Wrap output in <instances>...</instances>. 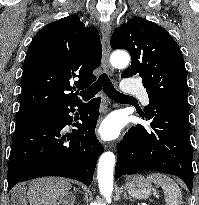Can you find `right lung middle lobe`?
Instances as JSON below:
<instances>
[{
  "mask_svg": "<svg viewBox=\"0 0 199 205\" xmlns=\"http://www.w3.org/2000/svg\"><path fill=\"white\" fill-rule=\"evenodd\" d=\"M50 117L51 115L49 112V113H44V114H39L34 116L16 118L15 134L20 133Z\"/></svg>",
  "mask_w": 199,
  "mask_h": 205,
  "instance_id": "dd1d6c3e",
  "label": "right lung middle lobe"
}]
</instances>
